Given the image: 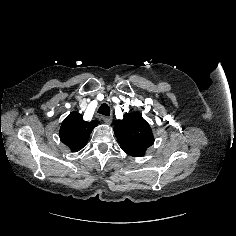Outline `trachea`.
Returning a JSON list of instances; mask_svg holds the SVG:
<instances>
[{
  "label": "trachea",
  "instance_id": "trachea-1",
  "mask_svg": "<svg viewBox=\"0 0 236 236\" xmlns=\"http://www.w3.org/2000/svg\"><path fill=\"white\" fill-rule=\"evenodd\" d=\"M98 113L105 115V116H109L110 115V107L108 106V104L103 103L99 109H98Z\"/></svg>",
  "mask_w": 236,
  "mask_h": 236
}]
</instances>
